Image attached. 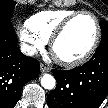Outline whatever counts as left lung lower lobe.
Returning <instances> with one entry per match:
<instances>
[{"label": "left lung lower lobe", "instance_id": "left-lung-lower-lobe-1", "mask_svg": "<svg viewBox=\"0 0 108 108\" xmlns=\"http://www.w3.org/2000/svg\"><path fill=\"white\" fill-rule=\"evenodd\" d=\"M52 72L57 86L47 97L49 108H98L108 95V53H95L74 69Z\"/></svg>", "mask_w": 108, "mask_h": 108}]
</instances>
